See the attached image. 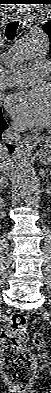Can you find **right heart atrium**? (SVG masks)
I'll use <instances>...</instances> for the list:
<instances>
[{
	"label": "right heart atrium",
	"instance_id": "right-heart-atrium-1",
	"mask_svg": "<svg viewBox=\"0 0 51 393\" xmlns=\"http://www.w3.org/2000/svg\"><path fill=\"white\" fill-rule=\"evenodd\" d=\"M13 127L16 129V130H19L20 129V126L17 124V123H13Z\"/></svg>",
	"mask_w": 51,
	"mask_h": 393
}]
</instances>
